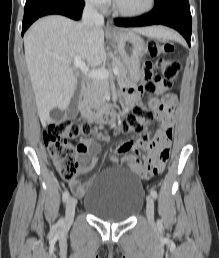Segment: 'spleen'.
Instances as JSON below:
<instances>
[{
	"label": "spleen",
	"instance_id": "obj_1",
	"mask_svg": "<svg viewBox=\"0 0 219 258\" xmlns=\"http://www.w3.org/2000/svg\"><path fill=\"white\" fill-rule=\"evenodd\" d=\"M174 34L169 31L168 29L162 28L159 30L157 37H161V38H174Z\"/></svg>",
	"mask_w": 219,
	"mask_h": 258
}]
</instances>
